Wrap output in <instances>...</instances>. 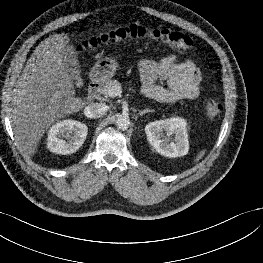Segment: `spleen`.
<instances>
[{
	"instance_id": "obj_1",
	"label": "spleen",
	"mask_w": 263,
	"mask_h": 263,
	"mask_svg": "<svg viewBox=\"0 0 263 263\" xmlns=\"http://www.w3.org/2000/svg\"><path fill=\"white\" fill-rule=\"evenodd\" d=\"M205 155V150H202L196 157L195 162L199 161Z\"/></svg>"
}]
</instances>
